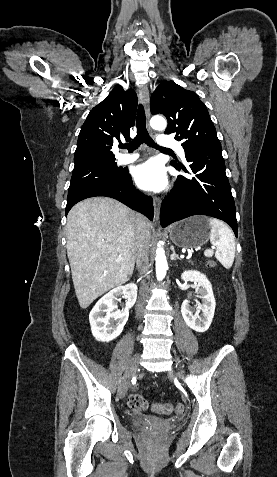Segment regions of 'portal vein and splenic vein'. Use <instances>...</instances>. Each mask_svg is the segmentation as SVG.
I'll list each match as a JSON object with an SVG mask.
<instances>
[{
    "label": "portal vein and splenic vein",
    "mask_w": 277,
    "mask_h": 477,
    "mask_svg": "<svg viewBox=\"0 0 277 477\" xmlns=\"http://www.w3.org/2000/svg\"><path fill=\"white\" fill-rule=\"evenodd\" d=\"M204 254H205V256H212L213 250L212 249H207V250H205Z\"/></svg>",
    "instance_id": "obj_1"
}]
</instances>
